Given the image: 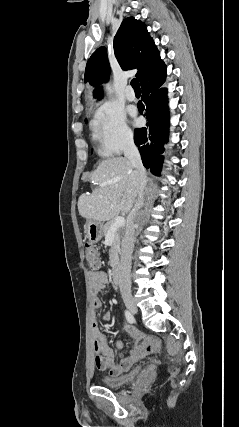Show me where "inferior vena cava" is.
<instances>
[{
	"label": "inferior vena cava",
	"mask_w": 239,
	"mask_h": 427,
	"mask_svg": "<svg viewBox=\"0 0 239 427\" xmlns=\"http://www.w3.org/2000/svg\"><path fill=\"white\" fill-rule=\"evenodd\" d=\"M124 154L131 162L137 176H138V199L134 208L129 214L128 222L126 225L125 233L122 237L121 256L118 266L119 273V288L121 291L131 289V261L132 252L134 247V232L135 221L138 218L139 210L144 205V190L146 188V171L142 164L141 156L137 146L132 137L128 138L124 147Z\"/></svg>",
	"instance_id": "obj_1"
}]
</instances>
